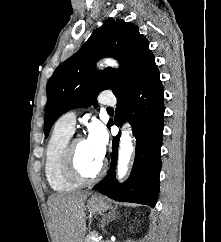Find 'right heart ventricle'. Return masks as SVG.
I'll list each match as a JSON object with an SVG mask.
<instances>
[{"instance_id": "e07e8e85", "label": "right heart ventricle", "mask_w": 221, "mask_h": 242, "mask_svg": "<svg viewBox=\"0 0 221 242\" xmlns=\"http://www.w3.org/2000/svg\"><path fill=\"white\" fill-rule=\"evenodd\" d=\"M71 134L55 125L46 145L44 173L49 186L56 192L73 191L80 185L70 179L64 170V156Z\"/></svg>"}]
</instances>
